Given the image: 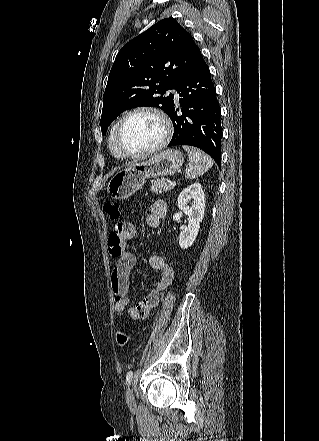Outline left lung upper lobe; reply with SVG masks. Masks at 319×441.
Listing matches in <instances>:
<instances>
[{
    "label": "left lung upper lobe",
    "mask_w": 319,
    "mask_h": 441,
    "mask_svg": "<svg viewBox=\"0 0 319 441\" xmlns=\"http://www.w3.org/2000/svg\"><path fill=\"white\" fill-rule=\"evenodd\" d=\"M200 55L192 36L173 18L159 21L124 45L103 96L102 134L118 115L134 107H158L169 116L173 95L164 93L176 89Z\"/></svg>",
    "instance_id": "1"
}]
</instances>
